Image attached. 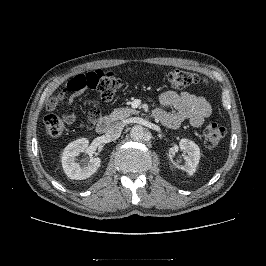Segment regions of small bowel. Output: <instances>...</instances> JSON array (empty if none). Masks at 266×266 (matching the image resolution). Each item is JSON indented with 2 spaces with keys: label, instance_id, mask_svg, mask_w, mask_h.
Here are the masks:
<instances>
[{
  "label": "small bowel",
  "instance_id": "1",
  "mask_svg": "<svg viewBox=\"0 0 266 266\" xmlns=\"http://www.w3.org/2000/svg\"><path fill=\"white\" fill-rule=\"evenodd\" d=\"M68 94H70L68 104L71 105L75 97L80 94V91H70ZM159 102L161 108L157 110L162 113V117L159 120L163 125L171 129L178 128L184 121H189L192 126L199 127L212 112L211 105L205 98L189 91H182L181 93L174 91L163 92L160 95ZM170 107L174 108L176 112H168L167 109ZM65 119L68 122H73L75 116L68 114Z\"/></svg>",
  "mask_w": 266,
  "mask_h": 266
}]
</instances>
